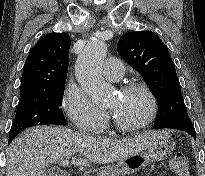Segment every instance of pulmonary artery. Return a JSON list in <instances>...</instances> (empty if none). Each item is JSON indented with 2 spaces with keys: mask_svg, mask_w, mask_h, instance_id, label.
Returning a JSON list of instances; mask_svg holds the SVG:
<instances>
[{
  "mask_svg": "<svg viewBox=\"0 0 205 176\" xmlns=\"http://www.w3.org/2000/svg\"><path fill=\"white\" fill-rule=\"evenodd\" d=\"M124 64L115 57L106 59L102 67L103 75L110 81H119L124 76Z\"/></svg>",
  "mask_w": 205,
  "mask_h": 176,
  "instance_id": "e3ab8cb5",
  "label": "pulmonary artery"
}]
</instances>
